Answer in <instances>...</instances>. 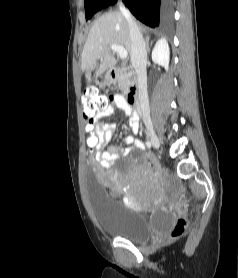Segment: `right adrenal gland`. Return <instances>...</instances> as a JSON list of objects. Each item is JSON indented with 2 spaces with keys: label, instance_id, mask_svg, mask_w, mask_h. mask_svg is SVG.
<instances>
[{
  "label": "right adrenal gland",
  "instance_id": "right-adrenal-gland-1",
  "mask_svg": "<svg viewBox=\"0 0 238 278\" xmlns=\"http://www.w3.org/2000/svg\"><path fill=\"white\" fill-rule=\"evenodd\" d=\"M149 40H150V38L149 37H147L146 38V48H147V52L149 53V51H150V44H149ZM153 42H151V44H152Z\"/></svg>",
  "mask_w": 238,
  "mask_h": 278
}]
</instances>
